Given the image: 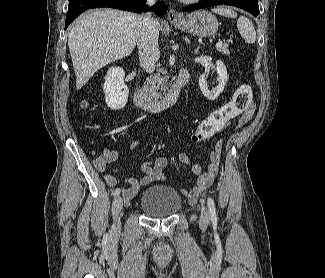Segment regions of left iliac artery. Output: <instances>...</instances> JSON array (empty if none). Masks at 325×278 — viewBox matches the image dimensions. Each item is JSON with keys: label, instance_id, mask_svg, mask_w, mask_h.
<instances>
[{"label": "left iliac artery", "instance_id": "44dca946", "mask_svg": "<svg viewBox=\"0 0 325 278\" xmlns=\"http://www.w3.org/2000/svg\"><path fill=\"white\" fill-rule=\"evenodd\" d=\"M208 207L210 211V217L212 221H217L215 203L212 198H208Z\"/></svg>", "mask_w": 325, "mask_h": 278}]
</instances>
